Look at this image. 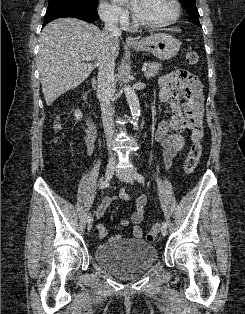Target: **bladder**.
<instances>
[{"mask_svg":"<svg viewBox=\"0 0 245 314\" xmlns=\"http://www.w3.org/2000/svg\"><path fill=\"white\" fill-rule=\"evenodd\" d=\"M158 258L154 246L142 239L98 244L94 259L109 272L132 277L147 271Z\"/></svg>","mask_w":245,"mask_h":314,"instance_id":"bladder-1","label":"bladder"}]
</instances>
